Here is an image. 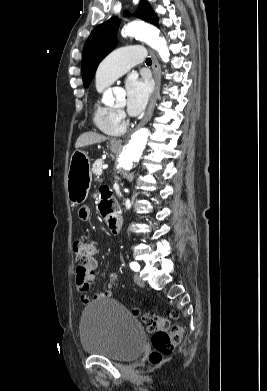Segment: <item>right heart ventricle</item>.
Segmentation results:
<instances>
[{
  "label": "right heart ventricle",
  "instance_id": "right-heart-ventricle-1",
  "mask_svg": "<svg viewBox=\"0 0 267 391\" xmlns=\"http://www.w3.org/2000/svg\"><path fill=\"white\" fill-rule=\"evenodd\" d=\"M97 89L102 91L104 87ZM93 122L100 131L110 136H118L125 130L118 113L98 100L94 103Z\"/></svg>",
  "mask_w": 267,
  "mask_h": 391
}]
</instances>
